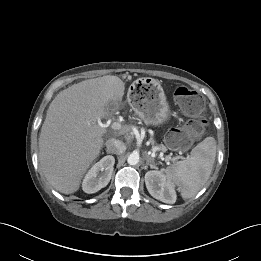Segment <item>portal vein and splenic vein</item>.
Returning a JSON list of instances; mask_svg holds the SVG:
<instances>
[{
	"label": "portal vein and splenic vein",
	"mask_w": 261,
	"mask_h": 261,
	"mask_svg": "<svg viewBox=\"0 0 261 261\" xmlns=\"http://www.w3.org/2000/svg\"><path fill=\"white\" fill-rule=\"evenodd\" d=\"M98 124L100 127L102 128H106L107 126L105 124H103L101 121L98 120ZM113 130H121L122 126L119 122H113L110 126ZM154 151H156V148L154 149ZM152 156L155 157V153H152ZM167 158L170 160L171 157L167 156ZM167 160V161H169Z\"/></svg>",
	"instance_id": "obj_1"
}]
</instances>
